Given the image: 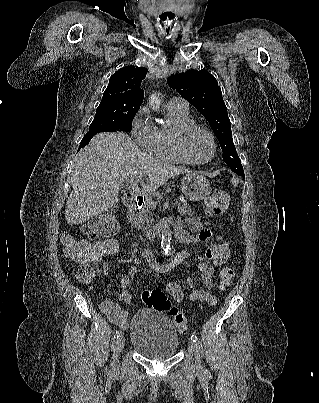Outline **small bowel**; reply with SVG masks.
<instances>
[{"mask_svg":"<svg viewBox=\"0 0 319 403\" xmlns=\"http://www.w3.org/2000/svg\"><path fill=\"white\" fill-rule=\"evenodd\" d=\"M187 224L191 233L188 232L184 227L178 225L176 227V238L186 244H202L208 242L213 238V233L209 229L203 227L197 218H189ZM112 239V238H109ZM229 256V246L224 241L221 242L219 238L211 243L205 252V257L209 262L198 263V268L202 274V280L204 287H197L193 284L190 278L186 279V283L191 289L190 300L200 301L206 303L207 305L214 306L217 303V297L212 292V287L214 284L213 276L215 272V267L221 266L225 263ZM104 257V254H99L98 260ZM143 258L148 260L149 267L157 273H166L170 271L173 267L181 263H188L191 258V254L188 251H181L172 262L167 264H161L154 260L151 253H143ZM139 260H135L132 265H130L128 272L121 279V287L119 292V300L123 303L131 302L130 294V283L133 276L137 273V266ZM100 271L102 273H107L108 265L106 262L101 261ZM165 289L169 295L176 301L182 302L184 299V294L181 287L174 282L165 283ZM100 309L102 312L115 324L118 328L122 330H127L129 327L128 313L124 310L118 303L105 300L100 304Z\"/></svg>","mask_w":319,"mask_h":403,"instance_id":"1","label":"small bowel"}]
</instances>
